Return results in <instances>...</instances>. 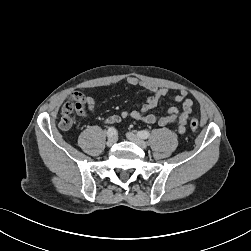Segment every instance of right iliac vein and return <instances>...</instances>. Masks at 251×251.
Listing matches in <instances>:
<instances>
[{"instance_id":"right-iliac-vein-1","label":"right iliac vein","mask_w":251,"mask_h":251,"mask_svg":"<svg viewBox=\"0 0 251 251\" xmlns=\"http://www.w3.org/2000/svg\"><path fill=\"white\" fill-rule=\"evenodd\" d=\"M116 141H117V138L115 136L110 137L107 141V146L108 147L113 146L116 143Z\"/></svg>"}]
</instances>
